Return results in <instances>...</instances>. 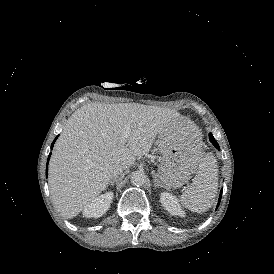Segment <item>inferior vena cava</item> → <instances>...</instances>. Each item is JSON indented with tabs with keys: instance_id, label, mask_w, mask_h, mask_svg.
I'll use <instances>...</instances> for the list:
<instances>
[{
	"instance_id": "inferior-vena-cava-1",
	"label": "inferior vena cava",
	"mask_w": 274,
	"mask_h": 274,
	"mask_svg": "<svg viewBox=\"0 0 274 274\" xmlns=\"http://www.w3.org/2000/svg\"><path fill=\"white\" fill-rule=\"evenodd\" d=\"M125 170H126V167H124V166H118L117 170H116V176H119Z\"/></svg>"
}]
</instances>
